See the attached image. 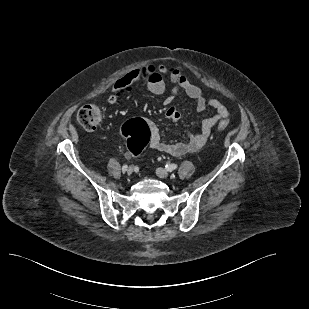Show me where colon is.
Masks as SVG:
<instances>
[{
	"instance_id": "obj_1",
	"label": "colon",
	"mask_w": 309,
	"mask_h": 309,
	"mask_svg": "<svg viewBox=\"0 0 309 309\" xmlns=\"http://www.w3.org/2000/svg\"><path fill=\"white\" fill-rule=\"evenodd\" d=\"M104 110L97 105H85L77 114L78 122L87 131L97 130L103 123ZM229 123L221 120L219 130H225ZM122 134L126 138L127 146L132 156L139 155L150 141V130L147 123L140 118L127 121L122 127Z\"/></svg>"
}]
</instances>
